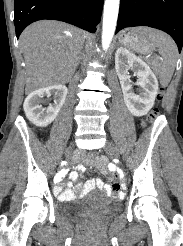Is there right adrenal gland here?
Masks as SVG:
<instances>
[{
    "mask_svg": "<svg viewBox=\"0 0 183 246\" xmlns=\"http://www.w3.org/2000/svg\"><path fill=\"white\" fill-rule=\"evenodd\" d=\"M81 55H82V52L79 53V56H78L77 62H76V67H77V66L79 65V63H80Z\"/></svg>",
    "mask_w": 183,
    "mask_h": 246,
    "instance_id": "2a0ac1e0",
    "label": "right adrenal gland"
}]
</instances>
